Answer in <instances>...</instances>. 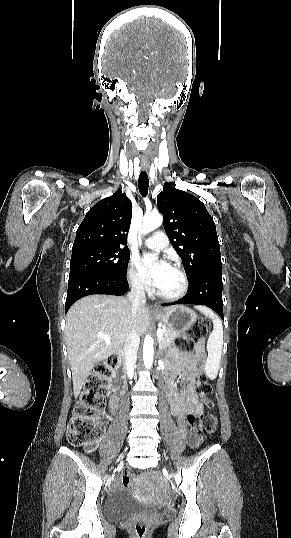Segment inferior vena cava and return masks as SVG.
<instances>
[{"instance_id": "obj_1", "label": "inferior vena cava", "mask_w": 291, "mask_h": 538, "mask_svg": "<svg viewBox=\"0 0 291 538\" xmlns=\"http://www.w3.org/2000/svg\"><path fill=\"white\" fill-rule=\"evenodd\" d=\"M128 299L132 303V327L127 334L126 341L124 343V357L125 366L128 374L133 375L135 364L137 361V351L139 348V335L135 328V316L140 306L145 305L146 296L144 291V285L141 280H135L132 283L131 291L128 293Z\"/></svg>"}]
</instances>
